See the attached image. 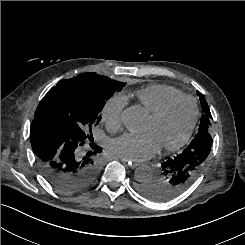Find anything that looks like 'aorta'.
Listing matches in <instances>:
<instances>
[{
    "label": "aorta",
    "instance_id": "1",
    "mask_svg": "<svg viewBox=\"0 0 245 245\" xmlns=\"http://www.w3.org/2000/svg\"><path fill=\"white\" fill-rule=\"evenodd\" d=\"M122 122L128 131L135 133L142 129L144 124V114L137 106H131L124 110ZM135 177L139 182H146L153 178V171L147 165L139 166L135 171Z\"/></svg>",
    "mask_w": 245,
    "mask_h": 245
}]
</instances>
